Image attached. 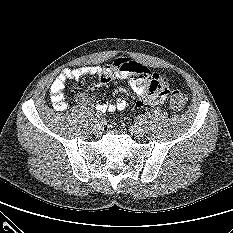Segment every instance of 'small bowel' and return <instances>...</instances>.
I'll use <instances>...</instances> for the list:
<instances>
[{
	"mask_svg": "<svg viewBox=\"0 0 233 233\" xmlns=\"http://www.w3.org/2000/svg\"><path fill=\"white\" fill-rule=\"evenodd\" d=\"M136 66L142 65L129 58H117L103 66L64 69L50 86L51 100L58 110L66 109L67 103L64 95L66 83L70 80L79 81L87 75H96L102 85H106L110 81L130 79L132 91V96L128 100H119L115 106L106 102L98 103L96 107L98 111L103 112L111 108L124 110L126 108H140L145 104L163 103L169 93V80L152 71H150L149 78H137L134 76L133 70ZM81 101L84 104H91L92 98L89 95H83Z\"/></svg>",
	"mask_w": 233,
	"mask_h": 233,
	"instance_id": "obj_1",
	"label": "small bowel"
}]
</instances>
